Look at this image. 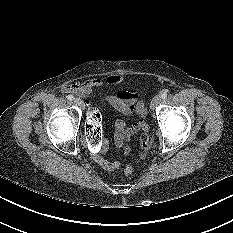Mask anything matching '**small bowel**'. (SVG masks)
<instances>
[{
    "label": "small bowel",
    "instance_id": "small-bowel-1",
    "mask_svg": "<svg viewBox=\"0 0 233 233\" xmlns=\"http://www.w3.org/2000/svg\"><path fill=\"white\" fill-rule=\"evenodd\" d=\"M122 77L120 75H110L106 77H98L88 79L82 84H70L64 88L65 92L77 94L87 99L94 88L114 86L121 83ZM107 102L112 105L124 116L135 114L138 120L131 125H127L123 119H118L115 123V145L122 149L123 153L127 155L129 148L126 145L130 137L140 128V122L146 115V110L143 103L139 100V94L134 89L119 90L114 94L106 96ZM89 108L93 107L90 102ZM89 110V109H88ZM102 147L98 153L93 154L94 161L106 171H113L119 167V162L104 157L108 149V141L102 137Z\"/></svg>",
    "mask_w": 233,
    "mask_h": 233
}]
</instances>
